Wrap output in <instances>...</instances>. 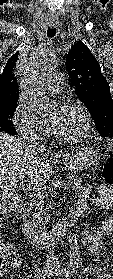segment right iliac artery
<instances>
[{
    "label": "right iliac artery",
    "instance_id": "obj_1",
    "mask_svg": "<svg viewBox=\"0 0 113 279\" xmlns=\"http://www.w3.org/2000/svg\"><path fill=\"white\" fill-rule=\"evenodd\" d=\"M67 270L66 269H61L58 271L57 275H60V276H63L64 273H66ZM50 275V272L48 270H45V269H38L35 273V278L36 279H45L46 276H49Z\"/></svg>",
    "mask_w": 113,
    "mask_h": 279
}]
</instances>
